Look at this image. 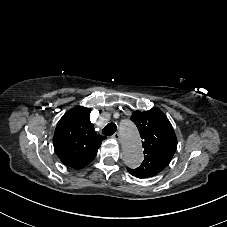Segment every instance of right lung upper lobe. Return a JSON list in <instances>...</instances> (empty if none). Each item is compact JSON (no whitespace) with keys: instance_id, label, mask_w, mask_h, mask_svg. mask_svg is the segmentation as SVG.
Returning a JSON list of instances; mask_svg holds the SVG:
<instances>
[{"instance_id":"obj_1","label":"right lung upper lobe","mask_w":227,"mask_h":227,"mask_svg":"<svg viewBox=\"0 0 227 227\" xmlns=\"http://www.w3.org/2000/svg\"><path fill=\"white\" fill-rule=\"evenodd\" d=\"M91 110L77 106L67 111L55 129L53 145L60 160L74 169L87 166L96 156L102 140L90 122Z\"/></svg>"}]
</instances>
